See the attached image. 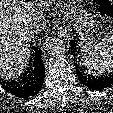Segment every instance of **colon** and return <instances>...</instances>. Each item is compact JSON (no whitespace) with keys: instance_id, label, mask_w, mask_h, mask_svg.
<instances>
[{"instance_id":"5ec220e1","label":"colon","mask_w":113,"mask_h":113,"mask_svg":"<svg viewBox=\"0 0 113 113\" xmlns=\"http://www.w3.org/2000/svg\"><path fill=\"white\" fill-rule=\"evenodd\" d=\"M98 10L105 16L113 18V4L108 0H94Z\"/></svg>"}]
</instances>
